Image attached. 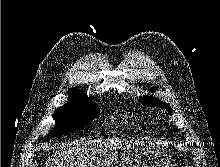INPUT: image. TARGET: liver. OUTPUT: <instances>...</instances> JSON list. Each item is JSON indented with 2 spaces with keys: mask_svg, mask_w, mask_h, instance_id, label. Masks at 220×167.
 <instances>
[{
  "mask_svg": "<svg viewBox=\"0 0 220 167\" xmlns=\"http://www.w3.org/2000/svg\"><path fill=\"white\" fill-rule=\"evenodd\" d=\"M129 143L133 141L123 138L94 141L80 139L63 143L59 150L48 158L45 167H112L119 150Z\"/></svg>",
  "mask_w": 220,
  "mask_h": 167,
  "instance_id": "6515ba94",
  "label": "liver"
}]
</instances>
